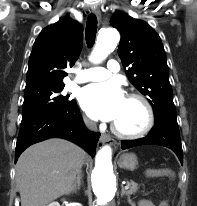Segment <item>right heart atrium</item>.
<instances>
[{"label": "right heart atrium", "mask_w": 197, "mask_h": 206, "mask_svg": "<svg viewBox=\"0 0 197 206\" xmlns=\"http://www.w3.org/2000/svg\"><path fill=\"white\" fill-rule=\"evenodd\" d=\"M84 121H85L87 126H91L92 125V121L90 119L85 118Z\"/></svg>", "instance_id": "d8ad5b80"}]
</instances>
